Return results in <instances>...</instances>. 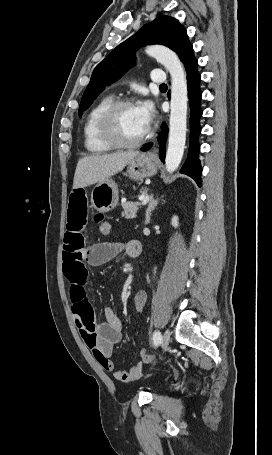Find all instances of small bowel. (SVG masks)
<instances>
[{
	"instance_id": "small-bowel-1",
	"label": "small bowel",
	"mask_w": 272,
	"mask_h": 455,
	"mask_svg": "<svg viewBox=\"0 0 272 455\" xmlns=\"http://www.w3.org/2000/svg\"><path fill=\"white\" fill-rule=\"evenodd\" d=\"M87 212L85 191L83 189L73 191L68 205L63 247L64 275L70 285L72 314L81 337L96 361L119 381L137 380L143 374L141 364L129 371H123L111 360L114 345L122 339L123 324L110 307L104 310L103 322L96 320L87 290V281L91 266L106 263L122 252L136 258L141 254V244L136 240H130L125 244L102 242L87 246L84 237ZM146 301L147 293L143 290L137 291L132 300L134 309L142 311Z\"/></svg>"
}]
</instances>
